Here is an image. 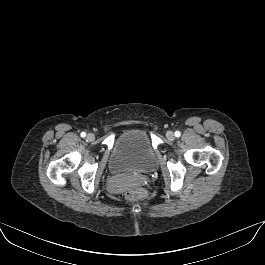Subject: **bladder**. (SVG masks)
I'll return each mask as SVG.
<instances>
[{"instance_id": "obj_1", "label": "bladder", "mask_w": 265, "mask_h": 265, "mask_svg": "<svg viewBox=\"0 0 265 265\" xmlns=\"http://www.w3.org/2000/svg\"><path fill=\"white\" fill-rule=\"evenodd\" d=\"M157 164V155L144 130L131 128L116 138L109 159L113 173L147 172L155 169Z\"/></svg>"}]
</instances>
